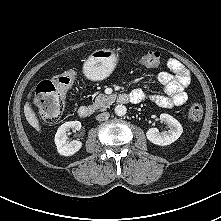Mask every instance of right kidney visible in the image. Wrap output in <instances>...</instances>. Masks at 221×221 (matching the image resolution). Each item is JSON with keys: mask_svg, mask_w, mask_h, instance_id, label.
<instances>
[{"mask_svg": "<svg viewBox=\"0 0 221 221\" xmlns=\"http://www.w3.org/2000/svg\"><path fill=\"white\" fill-rule=\"evenodd\" d=\"M80 130L81 122L80 121H70L62 124L55 135V144L57 151L62 156H72L78 152L82 147V142L73 140H68L67 132L70 130Z\"/></svg>", "mask_w": 221, "mask_h": 221, "instance_id": "obj_1", "label": "right kidney"}]
</instances>
